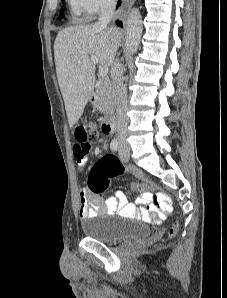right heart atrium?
<instances>
[{
    "instance_id": "d8ad5b80",
    "label": "right heart atrium",
    "mask_w": 227,
    "mask_h": 298,
    "mask_svg": "<svg viewBox=\"0 0 227 298\" xmlns=\"http://www.w3.org/2000/svg\"><path fill=\"white\" fill-rule=\"evenodd\" d=\"M72 9L92 17L113 7L115 0H69Z\"/></svg>"
}]
</instances>
